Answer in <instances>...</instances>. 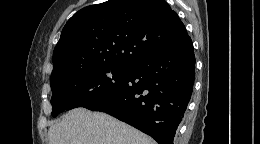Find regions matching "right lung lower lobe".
<instances>
[{
	"instance_id": "right-lung-lower-lobe-1",
	"label": "right lung lower lobe",
	"mask_w": 260,
	"mask_h": 144,
	"mask_svg": "<svg viewBox=\"0 0 260 144\" xmlns=\"http://www.w3.org/2000/svg\"><path fill=\"white\" fill-rule=\"evenodd\" d=\"M195 55L190 37L130 65L124 85L86 109L105 112L173 144L193 91Z\"/></svg>"
}]
</instances>
